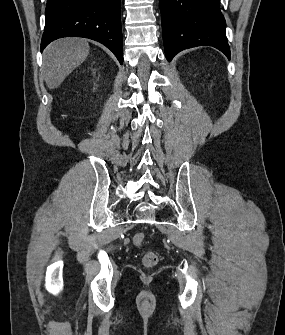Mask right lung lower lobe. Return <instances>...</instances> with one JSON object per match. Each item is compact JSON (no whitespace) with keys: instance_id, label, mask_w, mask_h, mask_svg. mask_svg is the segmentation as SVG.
<instances>
[{"instance_id":"right-lung-lower-lobe-1","label":"right lung lower lobe","mask_w":285,"mask_h":335,"mask_svg":"<svg viewBox=\"0 0 285 335\" xmlns=\"http://www.w3.org/2000/svg\"><path fill=\"white\" fill-rule=\"evenodd\" d=\"M121 0H47L41 51L62 37H84L109 48L123 63Z\"/></svg>"}]
</instances>
